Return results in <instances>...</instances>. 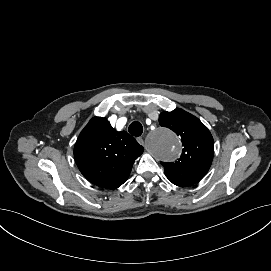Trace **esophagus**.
Instances as JSON below:
<instances>
[{
    "instance_id": "34e87169",
    "label": "esophagus",
    "mask_w": 271,
    "mask_h": 271,
    "mask_svg": "<svg viewBox=\"0 0 271 271\" xmlns=\"http://www.w3.org/2000/svg\"><path fill=\"white\" fill-rule=\"evenodd\" d=\"M136 140L140 145L144 144V141H143V139L141 137H137Z\"/></svg>"
}]
</instances>
